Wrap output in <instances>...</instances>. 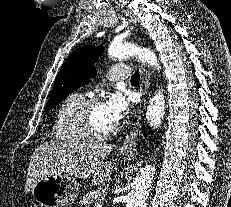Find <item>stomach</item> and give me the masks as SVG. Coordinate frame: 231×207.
I'll return each instance as SVG.
<instances>
[{"instance_id":"stomach-1","label":"stomach","mask_w":231,"mask_h":207,"mask_svg":"<svg viewBox=\"0 0 231 207\" xmlns=\"http://www.w3.org/2000/svg\"><path fill=\"white\" fill-rule=\"evenodd\" d=\"M31 194L42 207H62L76 200L79 184L64 173L46 175L38 180Z\"/></svg>"}]
</instances>
